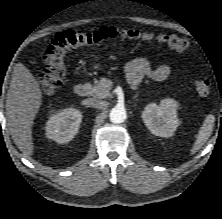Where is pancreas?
I'll list each match as a JSON object with an SVG mask.
<instances>
[{"label":"pancreas","mask_w":222,"mask_h":219,"mask_svg":"<svg viewBox=\"0 0 222 219\" xmlns=\"http://www.w3.org/2000/svg\"><path fill=\"white\" fill-rule=\"evenodd\" d=\"M111 86L107 78H101L98 83L90 88V95L95 98H107L110 96Z\"/></svg>","instance_id":"1"}]
</instances>
